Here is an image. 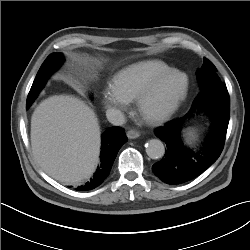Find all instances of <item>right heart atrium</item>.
I'll list each match as a JSON object with an SVG mask.
<instances>
[{"label":"right heart atrium","mask_w":250,"mask_h":250,"mask_svg":"<svg viewBox=\"0 0 250 250\" xmlns=\"http://www.w3.org/2000/svg\"><path fill=\"white\" fill-rule=\"evenodd\" d=\"M102 101L104 106L113 110L117 116H121L131 104V100L116 91L112 85H107L103 88Z\"/></svg>","instance_id":"d8ad5b80"}]
</instances>
